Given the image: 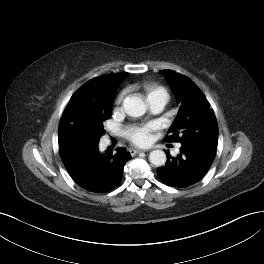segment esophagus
Segmentation results:
<instances>
[{"mask_svg":"<svg viewBox=\"0 0 264 264\" xmlns=\"http://www.w3.org/2000/svg\"><path fill=\"white\" fill-rule=\"evenodd\" d=\"M129 152H130V154H131L132 156H134V155H136V154H138V153H140V152H144V151L139 150V149L131 148V149L129 150Z\"/></svg>","mask_w":264,"mask_h":264,"instance_id":"obj_1","label":"esophagus"}]
</instances>
